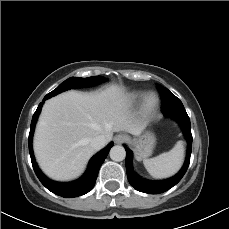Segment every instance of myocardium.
<instances>
[{
	"instance_id": "myocardium-1",
	"label": "myocardium",
	"mask_w": 229,
	"mask_h": 229,
	"mask_svg": "<svg viewBox=\"0 0 229 229\" xmlns=\"http://www.w3.org/2000/svg\"><path fill=\"white\" fill-rule=\"evenodd\" d=\"M159 106V98L154 93H147L143 99V107L146 112L152 113Z\"/></svg>"
}]
</instances>
